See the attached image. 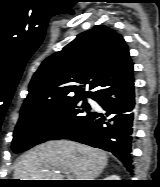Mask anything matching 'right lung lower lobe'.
<instances>
[{
	"mask_svg": "<svg viewBox=\"0 0 160 187\" xmlns=\"http://www.w3.org/2000/svg\"><path fill=\"white\" fill-rule=\"evenodd\" d=\"M133 63L100 89L93 99L105 113L91 112L65 138L111 152L132 172L131 146L135 109Z\"/></svg>",
	"mask_w": 160,
	"mask_h": 187,
	"instance_id": "98d812e1",
	"label": "right lung lower lobe"
}]
</instances>
